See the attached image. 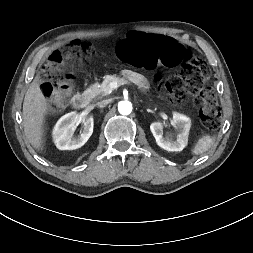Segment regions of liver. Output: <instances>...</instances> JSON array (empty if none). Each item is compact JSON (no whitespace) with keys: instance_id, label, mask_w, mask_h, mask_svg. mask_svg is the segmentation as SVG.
I'll return each instance as SVG.
<instances>
[{"instance_id":"6515ba94","label":"liver","mask_w":253,"mask_h":253,"mask_svg":"<svg viewBox=\"0 0 253 253\" xmlns=\"http://www.w3.org/2000/svg\"><path fill=\"white\" fill-rule=\"evenodd\" d=\"M47 109V99L35 77L23 102V126L29 143L38 151L43 149V123Z\"/></svg>"}]
</instances>
